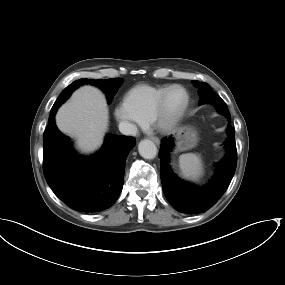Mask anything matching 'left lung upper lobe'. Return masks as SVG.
<instances>
[{
	"instance_id": "5c2ea615",
	"label": "left lung upper lobe",
	"mask_w": 285,
	"mask_h": 285,
	"mask_svg": "<svg viewBox=\"0 0 285 285\" xmlns=\"http://www.w3.org/2000/svg\"><path fill=\"white\" fill-rule=\"evenodd\" d=\"M193 82L196 86H198L199 93L201 95V98H200L201 105L205 103H212L213 100L217 101L218 99H221L219 95H217L207 83H203L199 81H193ZM220 104L221 106L218 107L219 113L225 115L226 117H229L230 114H229L228 108L226 104L224 103V101L222 100Z\"/></svg>"
}]
</instances>
